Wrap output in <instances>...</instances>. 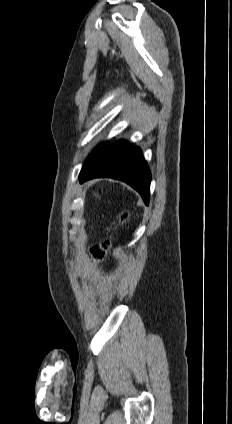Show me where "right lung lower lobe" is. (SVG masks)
<instances>
[{"mask_svg":"<svg viewBox=\"0 0 232 424\" xmlns=\"http://www.w3.org/2000/svg\"><path fill=\"white\" fill-rule=\"evenodd\" d=\"M109 177L126 182L149 204L151 173L140 148L120 140L107 143L94 161L80 174V182Z\"/></svg>","mask_w":232,"mask_h":424,"instance_id":"right-lung-lower-lobe-1","label":"right lung lower lobe"}]
</instances>
